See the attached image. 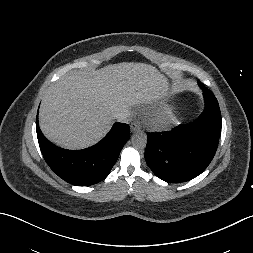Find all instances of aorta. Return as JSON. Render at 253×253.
<instances>
[{"mask_svg":"<svg viewBox=\"0 0 253 253\" xmlns=\"http://www.w3.org/2000/svg\"><path fill=\"white\" fill-rule=\"evenodd\" d=\"M132 144L137 149H144L147 144V135L144 132H135L132 136Z\"/></svg>","mask_w":253,"mask_h":253,"instance_id":"1","label":"aorta"}]
</instances>
